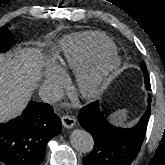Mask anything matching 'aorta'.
<instances>
[{
	"mask_svg": "<svg viewBox=\"0 0 165 165\" xmlns=\"http://www.w3.org/2000/svg\"><path fill=\"white\" fill-rule=\"evenodd\" d=\"M70 140L74 149L81 153H88L92 151L94 146L92 135L85 130H73L70 135Z\"/></svg>",
	"mask_w": 165,
	"mask_h": 165,
	"instance_id": "obj_1",
	"label": "aorta"
}]
</instances>
